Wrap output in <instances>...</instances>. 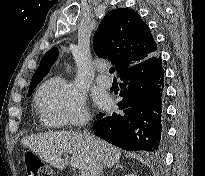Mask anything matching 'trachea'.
<instances>
[{
	"instance_id": "trachea-1",
	"label": "trachea",
	"mask_w": 205,
	"mask_h": 176,
	"mask_svg": "<svg viewBox=\"0 0 205 176\" xmlns=\"http://www.w3.org/2000/svg\"><path fill=\"white\" fill-rule=\"evenodd\" d=\"M109 71H110L111 74H113L115 72V68L111 67Z\"/></svg>"
}]
</instances>
